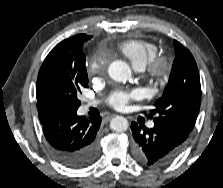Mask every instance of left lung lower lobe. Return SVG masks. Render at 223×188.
<instances>
[{"label":"left lung lower lobe","instance_id":"0a47b994","mask_svg":"<svg viewBox=\"0 0 223 188\" xmlns=\"http://www.w3.org/2000/svg\"><path fill=\"white\" fill-rule=\"evenodd\" d=\"M134 157L146 166H163L172 162L182 151L184 144L159 124L148 129L131 123Z\"/></svg>","mask_w":223,"mask_h":188}]
</instances>
